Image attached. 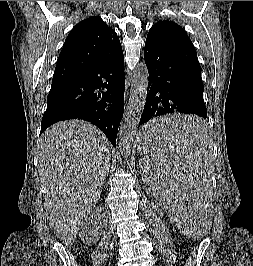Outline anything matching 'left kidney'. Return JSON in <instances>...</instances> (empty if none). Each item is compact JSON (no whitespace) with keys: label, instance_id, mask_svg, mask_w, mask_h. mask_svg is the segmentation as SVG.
<instances>
[{"label":"left kidney","instance_id":"left-kidney-1","mask_svg":"<svg viewBox=\"0 0 253 266\" xmlns=\"http://www.w3.org/2000/svg\"><path fill=\"white\" fill-rule=\"evenodd\" d=\"M173 220L179 225V219L177 217H174Z\"/></svg>","mask_w":253,"mask_h":266}]
</instances>
